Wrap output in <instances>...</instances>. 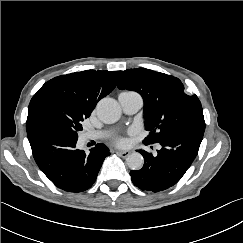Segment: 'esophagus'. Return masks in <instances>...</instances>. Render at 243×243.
Instances as JSON below:
<instances>
[{
	"instance_id": "1",
	"label": "esophagus",
	"mask_w": 243,
	"mask_h": 243,
	"mask_svg": "<svg viewBox=\"0 0 243 243\" xmlns=\"http://www.w3.org/2000/svg\"><path fill=\"white\" fill-rule=\"evenodd\" d=\"M122 157H127L130 154V151H116Z\"/></svg>"
}]
</instances>
